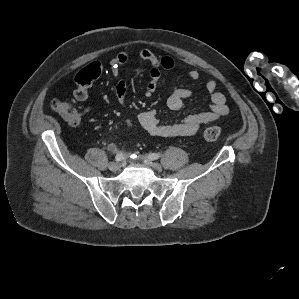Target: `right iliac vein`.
Segmentation results:
<instances>
[{
	"label": "right iliac vein",
	"instance_id": "obj_1",
	"mask_svg": "<svg viewBox=\"0 0 299 299\" xmlns=\"http://www.w3.org/2000/svg\"><path fill=\"white\" fill-rule=\"evenodd\" d=\"M109 169L111 170V171H117V170H119L120 169V164L118 163V162H111L110 164H109Z\"/></svg>",
	"mask_w": 299,
	"mask_h": 299
}]
</instances>
